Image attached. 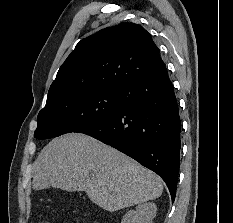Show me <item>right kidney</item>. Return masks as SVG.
I'll use <instances>...</instances> for the list:
<instances>
[{"instance_id": "1", "label": "right kidney", "mask_w": 233, "mask_h": 223, "mask_svg": "<svg viewBox=\"0 0 233 223\" xmlns=\"http://www.w3.org/2000/svg\"><path fill=\"white\" fill-rule=\"evenodd\" d=\"M157 205L153 201H146V203H140L136 209H130L124 215L121 223H153V219L156 215Z\"/></svg>"}]
</instances>
